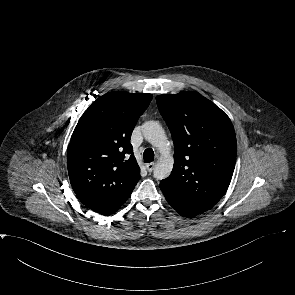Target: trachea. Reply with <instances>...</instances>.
<instances>
[{
  "instance_id": "3493384b",
  "label": "trachea",
  "mask_w": 295,
  "mask_h": 295,
  "mask_svg": "<svg viewBox=\"0 0 295 295\" xmlns=\"http://www.w3.org/2000/svg\"><path fill=\"white\" fill-rule=\"evenodd\" d=\"M143 157H144V162L145 163H150L154 160V152L151 148H148L144 151V154H143Z\"/></svg>"
}]
</instances>
